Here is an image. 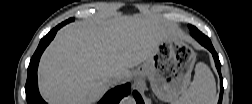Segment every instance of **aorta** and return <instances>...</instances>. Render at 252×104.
Listing matches in <instances>:
<instances>
[{
	"label": "aorta",
	"mask_w": 252,
	"mask_h": 104,
	"mask_svg": "<svg viewBox=\"0 0 252 104\" xmlns=\"http://www.w3.org/2000/svg\"><path fill=\"white\" fill-rule=\"evenodd\" d=\"M123 103L132 104V103H134V98L128 96V97L124 98Z\"/></svg>",
	"instance_id": "aorta-1"
}]
</instances>
